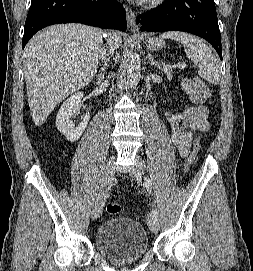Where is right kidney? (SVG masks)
<instances>
[{
  "label": "right kidney",
  "mask_w": 253,
  "mask_h": 271,
  "mask_svg": "<svg viewBox=\"0 0 253 271\" xmlns=\"http://www.w3.org/2000/svg\"><path fill=\"white\" fill-rule=\"evenodd\" d=\"M82 97V92L71 95L66 101L63 102L56 117L57 129L70 142H76L81 137L90 119L89 113L86 114L78 127H75L73 121L71 120L72 115L81 105Z\"/></svg>",
  "instance_id": "1"
}]
</instances>
